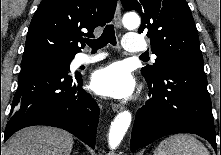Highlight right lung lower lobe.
<instances>
[{
  "label": "right lung lower lobe",
  "instance_id": "right-lung-lower-lobe-1",
  "mask_svg": "<svg viewBox=\"0 0 221 155\" xmlns=\"http://www.w3.org/2000/svg\"><path fill=\"white\" fill-rule=\"evenodd\" d=\"M68 71L67 65L49 57L22 59L4 140L24 127L49 125L69 131L94 149L99 107L82 89L81 75L72 77Z\"/></svg>",
  "mask_w": 221,
  "mask_h": 155
}]
</instances>
